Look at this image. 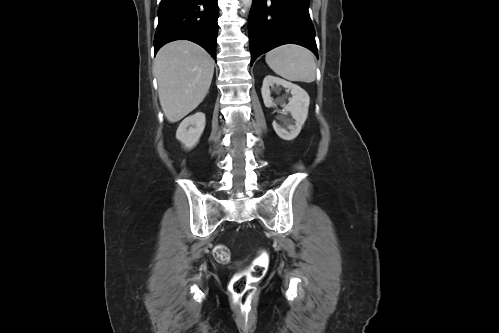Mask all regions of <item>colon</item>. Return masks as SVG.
<instances>
[{"mask_svg":"<svg viewBox=\"0 0 499 333\" xmlns=\"http://www.w3.org/2000/svg\"><path fill=\"white\" fill-rule=\"evenodd\" d=\"M213 256L218 262L227 263L230 260V251L225 245L218 244L213 249ZM265 269L266 259L261 258L253 263L248 272L241 273L233 279L231 283V293L235 305H237L242 312L248 313L250 311L252 299L251 282L261 278Z\"/></svg>","mask_w":499,"mask_h":333,"instance_id":"1","label":"colon"}]
</instances>
